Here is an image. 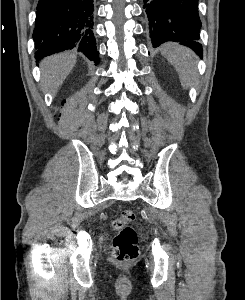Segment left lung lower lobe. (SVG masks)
Returning <instances> with one entry per match:
<instances>
[{
  "instance_id": "left-lung-lower-lobe-1",
  "label": "left lung lower lobe",
  "mask_w": 245,
  "mask_h": 300,
  "mask_svg": "<svg viewBox=\"0 0 245 300\" xmlns=\"http://www.w3.org/2000/svg\"><path fill=\"white\" fill-rule=\"evenodd\" d=\"M143 1L153 47L167 41L180 42L202 57V45L198 42L201 26L198 0Z\"/></svg>"
}]
</instances>
